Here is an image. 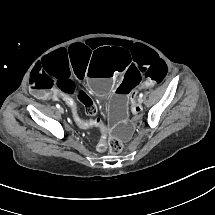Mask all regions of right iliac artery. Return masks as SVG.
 <instances>
[{
  "mask_svg": "<svg viewBox=\"0 0 215 215\" xmlns=\"http://www.w3.org/2000/svg\"><path fill=\"white\" fill-rule=\"evenodd\" d=\"M56 107L59 109V108H60V105H59V104H57V105H56Z\"/></svg>",
  "mask_w": 215,
  "mask_h": 215,
  "instance_id": "right-iliac-artery-1",
  "label": "right iliac artery"
}]
</instances>
